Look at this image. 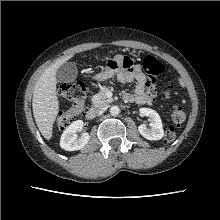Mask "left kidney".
Instances as JSON below:
<instances>
[{"mask_svg": "<svg viewBox=\"0 0 220 220\" xmlns=\"http://www.w3.org/2000/svg\"><path fill=\"white\" fill-rule=\"evenodd\" d=\"M140 113L149 117L150 129L146 127L145 124H141L138 127L139 133L148 140H160L164 136V130L162 126V121L159 114L149 108H140Z\"/></svg>", "mask_w": 220, "mask_h": 220, "instance_id": "left-kidney-1", "label": "left kidney"}]
</instances>
